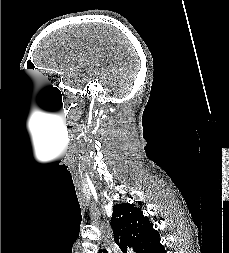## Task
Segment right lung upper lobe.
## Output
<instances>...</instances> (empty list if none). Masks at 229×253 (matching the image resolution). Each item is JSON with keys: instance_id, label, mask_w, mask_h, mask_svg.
Here are the masks:
<instances>
[{"instance_id": "right-lung-upper-lobe-1", "label": "right lung upper lobe", "mask_w": 229, "mask_h": 253, "mask_svg": "<svg viewBox=\"0 0 229 253\" xmlns=\"http://www.w3.org/2000/svg\"><path fill=\"white\" fill-rule=\"evenodd\" d=\"M114 241L123 253L133 248L136 253H147L159 240L152 222L133 204L122 203L113 207L111 218ZM99 253H107L100 250Z\"/></svg>"}]
</instances>
